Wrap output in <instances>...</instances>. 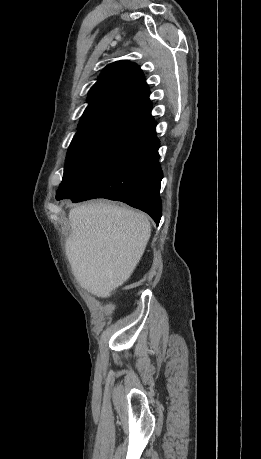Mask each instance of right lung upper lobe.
Returning a JSON list of instances; mask_svg holds the SVG:
<instances>
[{
	"instance_id": "cb5924a9",
	"label": "right lung upper lobe",
	"mask_w": 261,
	"mask_h": 459,
	"mask_svg": "<svg viewBox=\"0 0 261 459\" xmlns=\"http://www.w3.org/2000/svg\"><path fill=\"white\" fill-rule=\"evenodd\" d=\"M149 94V87L137 64L128 61L109 64L89 91V105L74 137L116 125L155 128Z\"/></svg>"
}]
</instances>
